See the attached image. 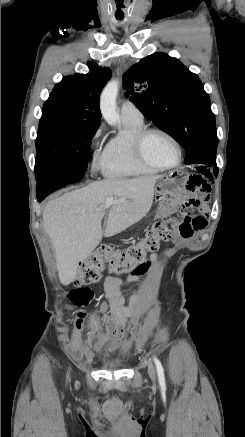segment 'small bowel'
<instances>
[{"mask_svg": "<svg viewBox=\"0 0 245 437\" xmlns=\"http://www.w3.org/2000/svg\"><path fill=\"white\" fill-rule=\"evenodd\" d=\"M216 174L209 166H194L188 174V181L185 184V191L194 194L187 202L182 206L185 212H188L191 208L200 207L205 201L207 195L212 190V185L207 180H214ZM177 206L176 203L171 204L172 209ZM172 226L176 240L180 238H189L195 232L202 231L207 226V217L205 214L199 215H186L182 220L177 215L171 218ZM166 227H171V222H166ZM156 255H152L150 260L146 263V268L136 274H131L126 277L127 283H133L140 280V278L148 271L150 265L156 261ZM122 283V280L109 277L106 280V287L108 289H116ZM107 306L105 304L101 307V312L105 313ZM83 324V319H78L76 327L79 329ZM107 333L95 346L94 352L104 351L106 346L108 350H115L122 341V338L127 332V318L124 312L120 308L113 310L112 315L107 320ZM92 341V335L90 334L86 341L85 353L92 355L94 352L88 349L89 344Z\"/></svg>", "mask_w": 245, "mask_h": 437, "instance_id": "c3829d8e", "label": "small bowel"}]
</instances>
